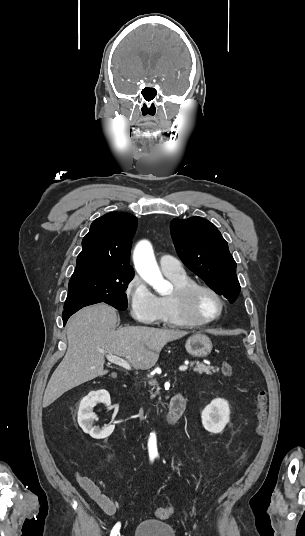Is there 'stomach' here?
I'll list each match as a JSON object with an SVG mask.
<instances>
[{
    "label": "stomach",
    "instance_id": "0dacf381",
    "mask_svg": "<svg viewBox=\"0 0 305 536\" xmlns=\"http://www.w3.org/2000/svg\"><path fill=\"white\" fill-rule=\"evenodd\" d=\"M186 352L194 358H205L212 350V342L205 334H195L185 344Z\"/></svg>",
    "mask_w": 305,
    "mask_h": 536
}]
</instances>
